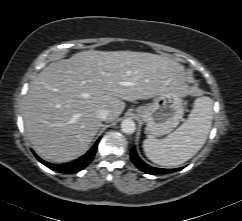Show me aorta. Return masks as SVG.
<instances>
[{"label": "aorta", "mask_w": 242, "mask_h": 221, "mask_svg": "<svg viewBox=\"0 0 242 221\" xmlns=\"http://www.w3.org/2000/svg\"><path fill=\"white\" fill-rule=\"evenodd\" d=\"M136 130V124L131 119H124L121 122V131L125 134H133Z\"/></svg>", "instance_id": "aorta-1"}]
</instances>
